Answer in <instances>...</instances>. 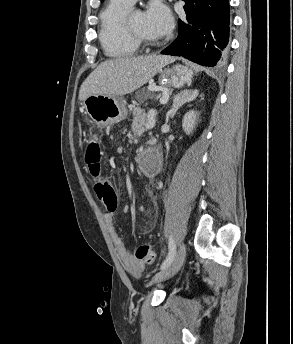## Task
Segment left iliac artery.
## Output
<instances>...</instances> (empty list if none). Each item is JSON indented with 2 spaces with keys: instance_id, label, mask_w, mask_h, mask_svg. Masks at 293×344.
I'll use <instances>...</instances> for the list:
<instances>
[{
  "instance_id": "1",
  "label": "left iliac artery",
  "mask_w": 293,
  "mask_h": 344,
  "mask_svg": "<svg viewBox=\"0 0 293 344\" xmlns=\"http://www.w3.org/2000/svg\"><path fill=\"white\" fill-rule=\"evenodd\" d=\"M176 254V245L172 236L169 238V253L166 259L161 264V269L166 268L173 261Z\"/></svg>"
}]
</instances>
